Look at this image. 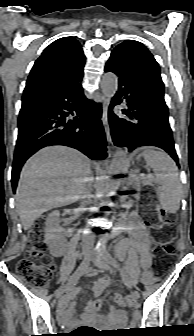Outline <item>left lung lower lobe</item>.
<instances>
[{
  "mask_svg": "<svg viewBox=\"0 0 194 336\" xmlns=\"http://www.w3.org/2000/svg\"><path fill=\"white\" fill-rule=\"evenodd\" d=\"M106 72L117 75L119 87L109 107V122L113 142L127 147L129 152L141 146H156L165 150L178 164L168 107L164 96L152 88L120 52L113 51L105 66ZM125 102V116L113 113V107Z\"/></svg>",
  "mask_w": 194,
  "mask_h": 336,
  "instance_id": "left-lung-lower-lobe-1",
  "label": "left lung lower lobe"
}]
</instances>
